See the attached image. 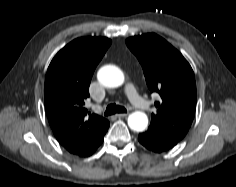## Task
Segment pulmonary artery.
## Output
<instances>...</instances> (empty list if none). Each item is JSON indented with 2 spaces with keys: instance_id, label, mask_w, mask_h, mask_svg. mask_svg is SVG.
I'll use <instances>...</instances> for the list:
<instances>
[{
  "instance_id": "e3ab8cb5",
  "label": "pulmonary artery",
  "mask_w": 236,
  "mask_h": 187,
  "mask_svg": "<svg viewBox=\"0 0 236 187\" xmlns=\"http://www.w3.org/2000/svg\"><path fill=\"white\" fill-rule=\"evenodd\" d=\"M124 93L126 95V97L130 100V102L136 106L142 105L143 101L140 98V96L138 95L134 85L130 82H128L125 85L124 88Z\"/></svg>"
}]
</instances>
